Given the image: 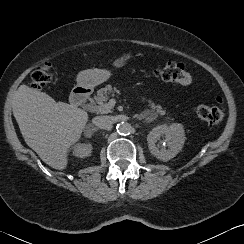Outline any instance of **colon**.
<instances>
[{"label":"colon","instance_id":"5ec220e1","mask_svg":"<svg viewBox=\"0 0 244 244\" xmlns=\"http://www.w3.org/2000/svg\"><path fill=\"white\" fill-rule=\"evenodd\" d=\"M153 76L161 81L174 83L180 86H190L193 84L192 75L185 67L176 62H167L161 67H157L152 72ZM32 86L43 88L52 80L51 64L45 63L39 66L32 74ZM197 116L202 121L211 125L222 122L225 115V106L221 97H216L214 104H201L197 107Z\"/></svg>","mask_w":244,"mask_h":244}]
</instances>
